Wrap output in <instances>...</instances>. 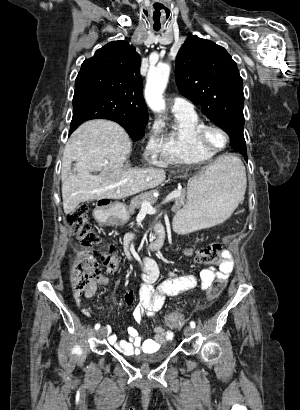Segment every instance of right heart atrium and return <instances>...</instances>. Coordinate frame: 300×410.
Here are the masks:
<instances>
[{
  "instance_id": "right-heart-atrium-1",
  "label": "right heart atrium",
  "mask_w": 300,
  "mask_h": 410,
  "mask_svg": "<svg viewBox=\"0 0 300 410\" xmlns=\"http://www.w3.org/2000/svg\"><path fill=\"white\" fill-rule=\"evenodd\" d=\"M163 149V137L161 135V127L157 122H154L149 131V139L146 146V154L151 159H156Z\"/></svg>"
}]
</instances>
